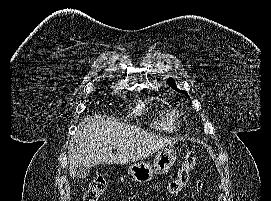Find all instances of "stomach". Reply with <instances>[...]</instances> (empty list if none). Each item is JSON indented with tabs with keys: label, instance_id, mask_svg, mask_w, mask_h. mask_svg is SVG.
Wrapping results in <instances>:
<instances>
[{
	"label": "stomach",
	"instance_id": "1",
	"mask_svg": "<svg viewBox=\"0 0 271 201\" xmlns=\"http://www.w3.org/2000/svg\"><path fill=\"white\" fill-rule=\"evenodd\" d=\"M177 158L176 151L169 147L161 149L155 156L153 164L138 162L128 167V174L139 183L150 181L156 174H165Z\"/></svg>",
	"mask_w": 271,
	"mask_h": 201
}]
</instances>
